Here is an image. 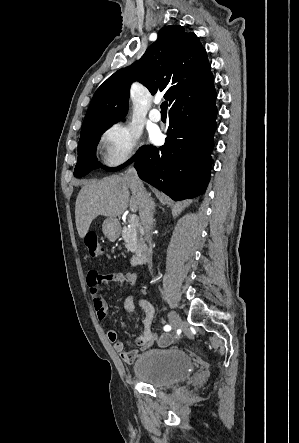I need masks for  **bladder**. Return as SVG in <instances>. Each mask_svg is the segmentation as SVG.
<instances>
[{
  "label": "bladder",
  "mask_w": 299,
  "mask_h": 443,
  "mask_svg": "<svg viewBox=\"0 0 299 443\" xmlns=\"http://www.w3.org/2000/svg\"><path fill=\"white\" fill-rule=\"evenodd\" d=\"M193 369L191 357L179 348H152L140 354L132 364L136 378L155 387L176 384Z\"/></svg>",
  "instance_id": "bladder-1"
}]
</instances>
